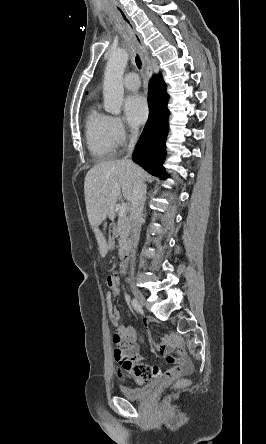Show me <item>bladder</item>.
I'll return each mask as SVG.
<instances>
[{"label":"bladder","instance_id":"31cf9c89","mask_svg":"<svg viewBox=\"0 0 266 444\" xmlns=\"http://www.w3.org/2000/svg\"><path fill=\"white\" fill-rule=\"evenodd\" d=\"M158 384V380H153L141 388L122 387L121 392L127 399L139 401L150 395Z\"/></svg>","mask_w":266,"mask_h":444}]
</instances>
